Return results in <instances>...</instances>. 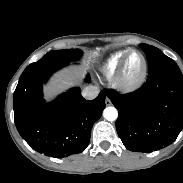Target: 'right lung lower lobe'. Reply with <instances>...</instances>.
<instances>
[{
    "label": "right lung lower lobe",
    "instance_id": "right-lung-lower-lobe-1",
    "mask_svg": "<svg viewBox=\"0 0 183 183\" xmlns=\"http://www.w3.org/2000/svg\"><path fill=\"white\" fill-rule=\"evenodd\" d=\"M63 66L24 71L13 96L14 121L21 137L32 149L56 158L87 148L92 126L105 108L104 91L88 101L81 96L79 88H71L46 103L43 84ZM86 82H90L89 75Z\"/></svg>",
    "mask_w": 183,
    "mask_h": 183
}]
</instances>
